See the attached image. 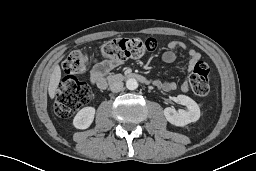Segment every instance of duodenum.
<instances>
[{
    "mask_svg": "<svg viewBox=\"0 0 256 171\" xmlns=\"http://www.w3.org/2000/svg\"><path fill=\"white\" fill-rule=\"evenodd\" d=\"M128 78L135 79V80H137L139 82H142V83L147 82V79L144 76L139 75V74H131L129 76H126V75H123V74H114V75H111L108 78V81H107L106 84L117 83V82L123 81V80L128 79Z\"/></svg>",
    "mask_w": 256,
    "mask_h": 171,
    "instance_id": "410a0bca",
    "label": "duodenum"
}]
</instances>
